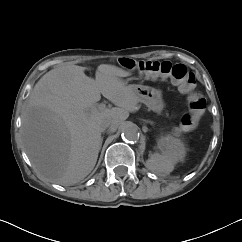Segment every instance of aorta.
<instances>
[{
    "label": "aorta",
    "mask_w": 242,
    "mask_h": 242,
    "mask_svg": "<svg viewBox=\"0 0 242 242\" xmlns=\"http://www.w3.org/2000/svg\"><path fill=\"white\" fill-rule=\"evenodd\" d=\"M122 137L127 141H136L139 138L138 128L134 123H127L122 130Z\"/></svg>",
    "instance_id": "aorta-1"
}]
</instances>
